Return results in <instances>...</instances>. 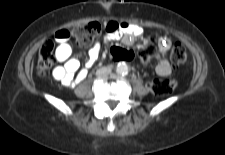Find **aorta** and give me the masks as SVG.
I'll list each match as a JSON object with an SVG mask.
<instances>
[{"label": "aorta", "instance_id": "1", "mask_svg": "<svg viewBox=\"0 0 225 155\" xmlns=\"http://www.w3.org/2000/svg\"><path fill=\"white\" fill-rule=\"evenodd\" d=\"M128 65L126 63H118L116 66V72L120 75H124L128 73Z\"/></svg>", "mask_w": 225, "mask_h": 155}]
</instances>
